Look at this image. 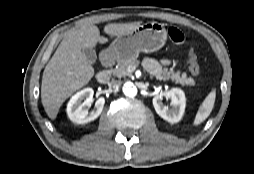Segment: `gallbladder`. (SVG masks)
Wrapping results in <instances>:
<instances>
[{"instance_id":"gallbladder-1","label":"gallbladder","mask_w":254,"mask_h":174,"mask_svg":"<svg viewBox=\"0 0 254 174\" xmlns=\"http://www.w3.org/2000/svg\"><path fill=\"white\" fill-rule=\"evenodd\" d=\"M82 52L84 53V55L86 56V58L92 63H96L97 60V55L94 49L92 48H85L82 50Z\"/></svg>"}]
</instances>
